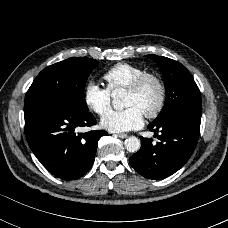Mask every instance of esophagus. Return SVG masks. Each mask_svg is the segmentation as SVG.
<instances>
[{
	"label": "esophagus",
	"mask_w": 228,
	"mask_h": 228,
	"mask_svg": "<svg viewBox=\"0 0 228 228\" xmlns=\"http://www.w3.org/2000/svg\"><path fill=\"white\" fill-rule=\"evenodd\" d=\"M117 136L121 139H125L128 137V135L126 133H118Z\"/></svg>",
	"instance_id": "34e87169"
}]
</instances>
